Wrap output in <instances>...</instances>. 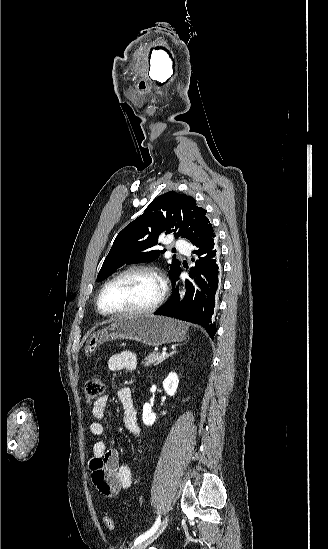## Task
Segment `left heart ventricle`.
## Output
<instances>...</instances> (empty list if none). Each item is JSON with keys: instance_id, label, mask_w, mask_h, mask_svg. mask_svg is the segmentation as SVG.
Returning <instances> with one entry per match:
<instances>
[{"instance_id": "left-heart-ventricle-1", "label": "left heart ventricle", "mask_w": 328, "mask_h": 549, "mask_svg": "<svg viewBox=\"0 0 328 549\" xmlns=\"http://www.w3.org/2000/svg\"><path fill=\"white\" fill-rule=\"evenodd\" d=\"M159 290V282L152 275L144 271H132L107 289L103 303L114 311L141 308L153 302Z\"/></svg>"}]
</instances>
